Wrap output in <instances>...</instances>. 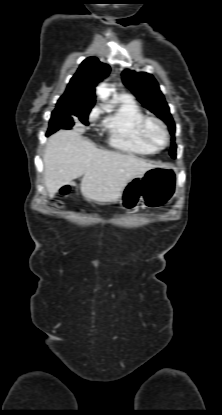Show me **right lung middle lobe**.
I'll use <instances>...</instances> for the list:
<instances>
[{
	"mask_svg": "<svg viewBox=\"0 0 222 415\" xmlns=\"http://www.w3.org/2000/svg\"><path fill=\"white\" fill-rule=\"evenodd\" d=\"M93 106H67L55 109L52 113L47 135H50L59 129H71L74 120H80L88 125V115Z\"/></svg>",
	"mask_w": 222,
	"mask_h": 415,
	"instance_id": "1",
	"label": "right lung middle lobe"
}]
</instances>
